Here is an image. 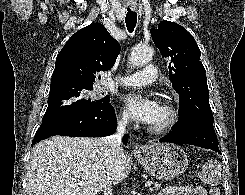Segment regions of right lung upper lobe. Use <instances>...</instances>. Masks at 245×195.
<instances>
[{"instance_id": "right-lung-upper-lobe-1", "label": "right lung upper lobe", "mask_w": 245, "mask_h": 195, "mask_svg": "<svg viewBox=\"0 0 245 195\" xmlns=\"http://www.w3.org/2000/svg\"><path fill=\"white\" fill-rule=\"evenodd\" d=\"M119 53V43L102 24L82 28L71 36L56 58L50 93L93 86L96 73L111 69Z\"/></svg>"}]
</instances>
